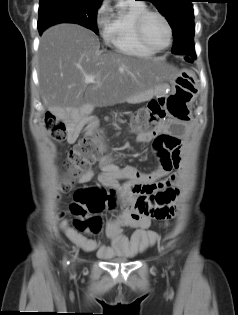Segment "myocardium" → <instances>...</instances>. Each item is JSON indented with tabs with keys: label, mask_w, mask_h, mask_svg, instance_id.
<instances>
[{
	"label": "myocardium",
	"mask_w": 238,
	"mask_h": 315,
	"mask_svg": "<svg viewBox=\"0 0 238 315\" xmlns=\"http://www.w3.org/2000/svg\"><path fill=\"white\" fill-rule=\"evenodd\" d=\"M158 16L165 24L167 31H168V42L164 47L158 48L153 46L145 37V33H144V26H145V22L148 19L149 16ZM136 34L137 37L139 39V41L148 49H150L151 51L154 52H161L164 51L166 49H168L173 41V30H172V26L169 22V20L167 19V17L162 14L159 11L156 10H145L144 12H142L137 20H136Z\"/></svg>",
	"instance_id": "obj_1"
}]
</instances>
